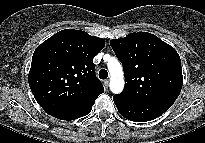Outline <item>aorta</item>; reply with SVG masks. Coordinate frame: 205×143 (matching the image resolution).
Instances as JSON below:
<instances>
[{
	"instance_id": "aorta-1",
	"label": "aorta",
	"mask_w": 205,
	"mask_h": 143,
	"mask_svg": "<svg viewBox=\"0 0 205 143\" xmlns=\"http://www.w3.org/2000/svg\"><path fill=\"white\" fill-rule=\"evenodd\" d=\"M110 77L109 87L114 94H119L124 88V75L120 62L115 57H110L107 63Z\"/></svg>"
}]
</instances>
